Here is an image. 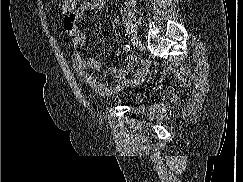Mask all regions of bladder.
I'll return each instance as SVG.
<instances>
[{"mask_svg":"<svg viewBox=\"0 0 243 182\" xmlns=\"http://www.w3.org/2000/svg\"><path fill=\"white\" fill-rule=\"evenodd\" d=\"M125 100L130 104H138L142 101V94L139 92H130L126 95Z\"/></svg>","mask_w":243,"mask_h":182,"instance_id":"1","label":"bladder"}]
</instances>
